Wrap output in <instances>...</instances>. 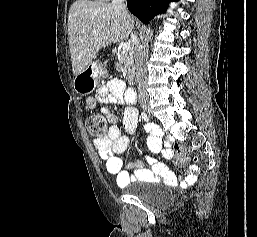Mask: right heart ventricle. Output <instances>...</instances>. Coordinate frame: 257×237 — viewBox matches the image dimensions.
I'll list each match as a JSON object with an SVG mask.
<instances>
[{"label": "right heart ventricle", "instance_id": "e07e8e85", "mask_svg": "<svg viewBox=\"0 0 257 237\" xmlns=\"http://www.w3.org/2000/svg\"><path fill=\"white\" fill-rule=\"evenodd\" d=\"M95 1H99V2H101V1H106V0H95Z\"/></svg>", "mask_w": 257, "mask_h": 237}]
</instances>
